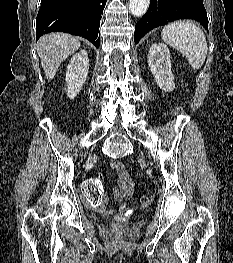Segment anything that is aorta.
I'll list each match as a JSON object with an SVG mask.
<instances>
[{
  "label": "aorta",
  "mask_w": 233,
  "mask_h": 263,
  "mask_svg": "<svg viewBox=\"0 0 233 263\" xmlns=\"http://www.w3.org/2000/svg\"><path fill=\"white\" fill-rule=\"evenodd\" d=\"M149 3L150 0H129V9L134 16L141 17L146 13Z\"/></svg>",
  "instance_id": "762f6f07"
}]
</instances>
